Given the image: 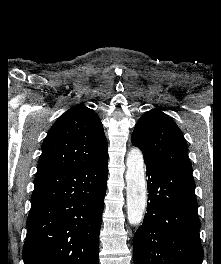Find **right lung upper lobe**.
<instances>
[{
    "label": "right lung upper lobe",
    "mask_w": 221,
    "mask_h": 264,
    "mask_svg": "<svg viewBox=\"0 0 221 264\" xmlns=\"http://www.w3.org/2000/svg\"><path fill=\"white\" fill-rule=\"evenodd\" d=\"M107 156V140L98 115L78 104L50 128L42 144L37 175L88 166Z\"/></svg>",
    "instance_id": "1"
}]
</instances>
